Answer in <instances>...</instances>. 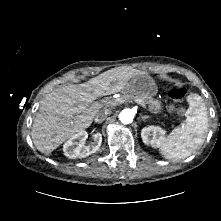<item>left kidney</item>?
<instances>
[{
	"instance_id": "5707ae66",
	"label": "left kidney",
	"mask_w": 221,
	"mask_h": 221,
	"mask_svg": "<svg viewBox=\"0 0 221 221\" xmlns=\"http://www.w3.org/2000/svg\"><path fill=\"white\" fill-rule=\"evenodd\" d=\"M165 131L159 126L144 127L141 131V137L146 145L159 147L164 141Z\"/></svg>"
}]
</instances>
